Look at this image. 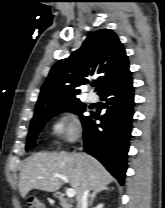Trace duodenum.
I'll return each mask as SVG.
<instances>
[{"instance_id": "duodenum-1", "label": "duodenum", "mask_w": 165, "mask_h": 208, "mask_svg": "<svg viewBox=\"0 0 165 208\" xmlns=\"http://www.w3.org/2000/svg\"><path fill=\"white\" fill-rule=\"evenodd\" d=\"M56 199L63 208H73L69 199L62 193H56Z\"/></svg>"}]
</instances>
